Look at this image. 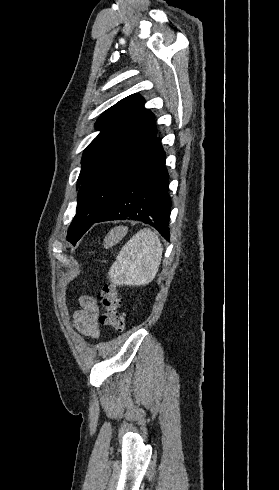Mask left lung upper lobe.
<instances>
[{
  "label": "left lung upper lobe",
  "instance_id": "1",
  "mask_svg": "<svg viewBox=\"0 0 279 490\" xmlns=\"http://www.w3.org/2000/svg\"><path fill=\"white\" fill-rule=\"evenodd\" d=\"M145 100L130 95L109 108L95 123L100 134L82 157L76 215L67 240L73 245L110 208L116 194L156 138L154 114Z\"/></svg>",
  "mask_w": 279,
  "mask_h": 490
}]
</instances>
